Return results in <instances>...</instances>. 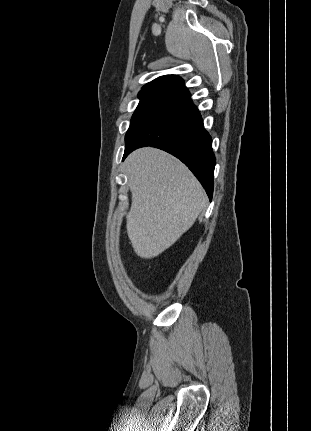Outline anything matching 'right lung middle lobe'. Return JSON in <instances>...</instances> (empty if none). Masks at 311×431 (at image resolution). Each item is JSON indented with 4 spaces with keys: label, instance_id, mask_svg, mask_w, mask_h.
Wrapping results in <instances>:
<instances>
[{
    "label": "right lung middle lobe",
    "instance_id": "1",
    "mask_svg": "<svg viewBox=\"0 0 311 431\" xmlns=\"http://www.w3.org/2000/svg\"><path fill=\"white\" fill-rule=\"evenodd\" d=\"M138 97L140 98V102L132 116L129 129L125 135L126 145L142 127L163 110L181 99L176 95L157 91H140Z\"/></svg>",
    "mask_w": 311,
    "mask_h": 431
}]
</instances>
